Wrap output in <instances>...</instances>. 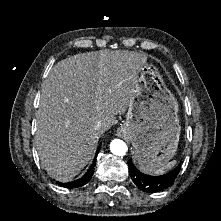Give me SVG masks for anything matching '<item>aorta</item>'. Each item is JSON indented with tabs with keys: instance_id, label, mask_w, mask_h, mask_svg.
I'll return each instance as SVG.
<instances>
[{
	"instance_id": "762f6f07",
	"label": "aorta",
	"mask_w": 221,
	"mask_h": 221,
	"mask_svg": "<svg viewBox=\"0 0 221 221\" xmlns=\"http://www.w3.org/2000/svg\"><path fill=\"white\" fill-rule=\"evenodd\" d=\"M110 150L114 155L124 156L128 151V147L124 141L114 139L110 144Z\"/></svg>"
}]
</instances>
